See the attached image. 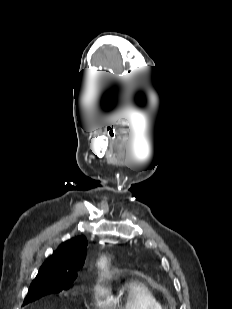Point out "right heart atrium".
Instances as JSON below:
<instances>
[{
    "label": "right heart atrium",
    "mask_w": 232,
    "mask_h": 309,
    "mask_svg": "<svg viewBox=\"0 0 232 309\" xmlns=\"http://www.w3.org/2000/svg\"><path fill=\"white\" fill-rule=\"evenodd\" d=\"M94 296L98 301H102L106 296V290L101 285H96L94 287Z\"/></svg>",
    "instance_id": "obj_1"
}]
</instances>
